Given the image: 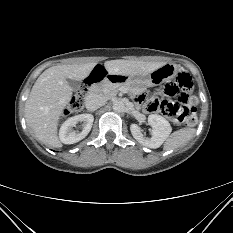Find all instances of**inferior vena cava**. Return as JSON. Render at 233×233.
<instances>
[{
    "instance_id": "1",
    "label": "inferior vena cava",
    "mask_w": 233,
    "mask_h": 233,
    "mask_svg": "<svg viewBox=\"0 0 233 233\" xmlns=\"http://www.w3.org/2000/svg\"><path fill=\"white\" fill-rule=\"evenodd\" d=\"M106 98L102 95L89 94L85 98V107L89 111H95L101 106L105 105Z\"/></svg>"
}]
</instances>
